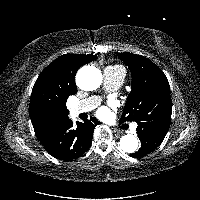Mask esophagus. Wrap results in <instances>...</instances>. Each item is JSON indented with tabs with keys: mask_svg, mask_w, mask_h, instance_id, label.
<instances>
[{
	"mask_svg": "<svg viewBox=\"0 0 200 200\" xmlns=\"http://www.w3.org/2000/svg\"><path fill=\"white\" fill-rule=\"evenodd\" d=\"M111 130L113 133H121L120 130L114 128V127H111Z\"/></svg>",
	"mask_w": 200,
	"mask_h": 200,
	"instance_id": "34e87169",
	"label": "esophagus"
}]
</instances>
